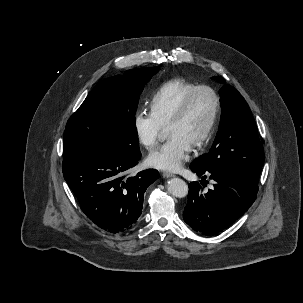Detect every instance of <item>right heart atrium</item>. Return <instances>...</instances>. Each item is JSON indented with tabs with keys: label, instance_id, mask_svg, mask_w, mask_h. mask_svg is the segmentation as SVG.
<instances>
[{
	"label": "right heart atrium",
	"instance_id": "obj_1",
	"mask_svg": "<svg viewBox=\"0 0 303 303\" xmlns=\"http://www.w3.org/2000/svg\"><path fill=\"white\" fill-rule=\"evenodd\" d=\"M133 128L139 142L147 149H153L160 138L163 125L151 112L138 111L133 117Z\"/></svg>",
	"mask_w": 303,
	"mask_h": 303
}]
</instances>
